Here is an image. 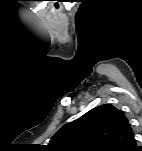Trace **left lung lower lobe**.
<instances>
[{
    "instance_id": "obj_1",
    "label": "left lung lower lobe",
    "mask_w": 142,
    "mask_h": 151,
    "mask_svg": "<svg viewBox=\"0 0 142 151\" xmlns=\"http://www.w3.org/2000/svg\"><path fill=\"white\" fill-rule=\"evenodd\" d=\"M141 150L142 148L140 149L139 147L136 146V142L133 137V139L131 140V142L129 143V145L126 147L124 151H141Z\"/></svg>"
}]
</instances>
